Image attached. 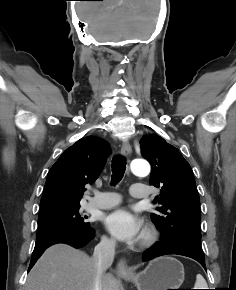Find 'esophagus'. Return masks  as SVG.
<instances>
[{
  "mask_svg": "<svg viewBox=\"0 0 236 290\" xmlns=\"http://www.w3.org/2000/svg\"><path fill=\"white\" fill-rule=\"evenodd\" d=\"M132 152V148L129 144L128 141H123L122 145H121V154L123 156H129ZM117 273L119 275H131L132 274V270L128 267L126 261L124 259H121L118 263H117V267H116Z\"/></svg>",
  "mask_w": 236,
  "mask_h": 290,
  "instance_id": "esophagus-1",
  "label": "esophagus"
}]
</instances>
